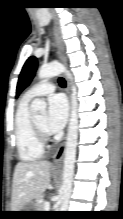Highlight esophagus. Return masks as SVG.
Here are the masks:
<instances>
[{
	"label": "esophagus",
	"instance_id": "34e87169",
	"mask_svg": "<svg viewBox=\"0 0 123 219\" xmlns=\"http://www.w3.org/2000/svg\"><path fill=\"white\" fill-rule=\"evenodd\" d=\"M54 39L57 47V54L62 61L63 64H66V57L64 53V45L62 36L60 33V30L57 26H54ZM67 94L70 99V89H69V83L67 81ZM65 152V140L58 146L56 152L53 155V166L54 167H60L62 163V159Z\"/></svg>",
	"mask_w": 123,
	"mask_h": 219
}]
</instances>
